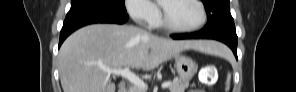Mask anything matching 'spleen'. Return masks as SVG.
I'll return each instance as SVG.
<instances>
[{"label":"spleen","mask_w":296,"mask_h":92,"mask_svg":"<svg viewBox=\"0 0 296 92\" xmlns=\"http://www.w3.org/2000/svg\"><path fill=\"white\" fill-rule=\"evenodd\" d=\"M213 54L221 56V57H225V58H230V56H231L230 53L225 49V47L219 43H218V46L216 47V50L214 51ZM230 81H231V74L228 73L227 74V81H226V91H228L230 88Z\"/></svg>","instance_id":"spleen-1"}]
</instances>
